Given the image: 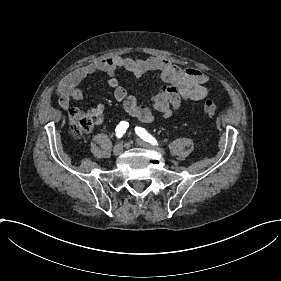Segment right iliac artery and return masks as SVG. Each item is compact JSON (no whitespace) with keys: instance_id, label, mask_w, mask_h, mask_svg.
Segmentation results:
<instances>
[{"instance_id":"right-iliac-artery-1","label":"right iliac artery","mask_w":281,"mask_h":281,"mask_svg":"<svg viewBox=\"0 0 281 281\" xmlns=\"http://www.w3.org/2000/svg\"><path fill=\"white\" fill-rule=\"evenodd\" d=\"M129 127V123L126 121H121L119 125H117L115 131H116V136L118 138H121L124 133H126V129Z\"/></svg>"}]
</instances>
